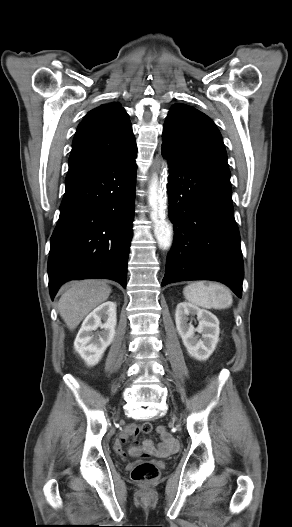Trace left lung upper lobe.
Masks as SVG:
<instances>
[{
  "mask_svg": "<svg viewBox=\"0 0 292 527\" xmlns=\"http://www.w3.org/2000/svg\"><path fill=\"white\" fill-rule=\"evenodd\" d=\"M162 148L189 161L229 170L218 128L207 115L185 104H175L169 111Z\"/></svg>",
  "mask_w": 292,
  "mask_h": 527,
  "instance_id": "5c2ea615",
  "label": "left lung upper lobe"
}]
</instances>
